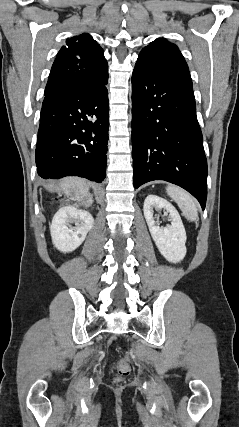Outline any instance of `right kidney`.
<instances>
[{
    "label": "right kidney",
    "mask_w": 239,
    "mask_h": 427,
    "mask_svg": "<svg viewBox=\"0 0 239 427\" xmlns=\"http://www.w3.org/2000/svg\"><path fill=\"white\" fill-rule=\"evenodd\" d=\"M75 223V227H71ZM92 215L74 206L60 208L54 215L50 226V234L54 246L61 252H72L78 248L92 229Z\"/></svg>",
    "instance_id": "right-kidney-1"
}]
</instances>
